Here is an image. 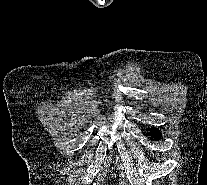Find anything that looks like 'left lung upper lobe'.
<instances>
[{"mask_svg": "<svg viewBox=\"0 0 207 185\" xmlns=\"http://www.w3.org/2000/svg\"><path fill=\"white\" fill-rule=\"evenodd\" d=\"M150 135L157 140L161 138V132L158 129H151Z\"/></svg>", "mask_w": 207, "mask_h": 185, "instance_id": "obj_1", "label": "left lung upper lobe"}]
</instances>
